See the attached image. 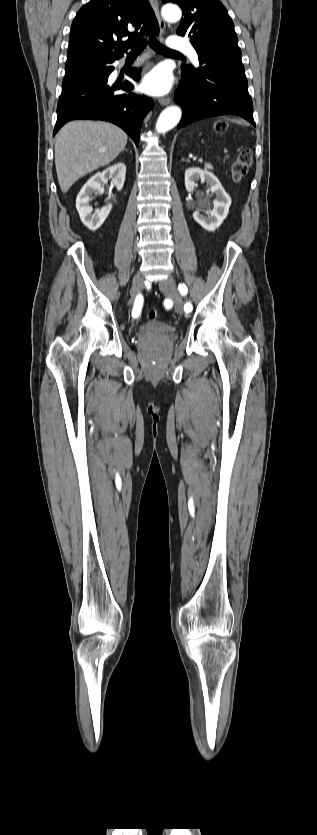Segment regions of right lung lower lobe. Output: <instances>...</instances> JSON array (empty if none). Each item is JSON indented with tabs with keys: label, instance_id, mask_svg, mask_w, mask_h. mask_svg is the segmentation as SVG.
Listing matches in <instances>:
<instances>
[{
	"label": "right lung lower lobe",
	"instance_id": "right-lung-lower-lobe-1",
	"mask_svg": "<svg viewBox=\"0 0 317 835\" xmlns=\"http://www.w3.org/2000/svg\"><path fill=\"white\" fill-rule=\"evenodd\" d=\"M120 58L104 59L97 53L68 56L66 73H72L100 59L105 66L99 78L63 87L53 135L71 120H105L125 130L138 146L142 121L154 103L145 95L114 93L116 90L130 91L134 87L129 81L108 83V76L114 69L110 64ZM127 74L134 80L140 78L139 70L135 72V68H131Z\"/></svg>",
	"mask_w": 317,
	"mask_h": 835
}]
</instances>
